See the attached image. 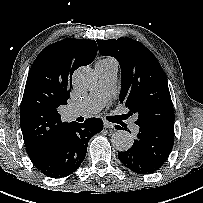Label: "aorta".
Wrapping results in <instances>:
<instances>
[{
	"mask_svg": "<svg viewBox=\"0 0 203 203\" xmlns=\"http://www.w3.org/2000/svg\"><path fill=\"white\" fill-rule=\"evenodd\" d=\"M97 81L95 71L87 66L78 68L72 77L75 88L79 91L90 90ZM113 147L118 151H127L133 145L132 136L124 130L116 131L111 137Z\"/></svg>",
	"mask_w": 203,
	"mask_h": 203,
	"instance_id": "obj_1",
	"label": "aorta"
}]
</instances>
